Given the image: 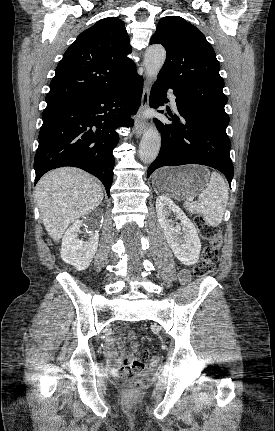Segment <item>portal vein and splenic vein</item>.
Listing matches in <instances>:
<instances>
[{"label": "portal vein and splenic vein", "instance_id": "18ae733b", "mask_svg": "<svg viewBox=\"0 0 275 431\" xmlns=\"http://www.w3.org/2000/svg\"><path fill=\"white\" fill-rule=\"evenodd\" d=\"M187 201H188V202H193V197H191V196H190V197H188V198H187Z\"/></svg>", "mask_w": 275, "mask_h": 431}]
</instances>
